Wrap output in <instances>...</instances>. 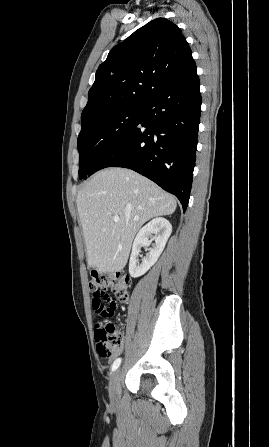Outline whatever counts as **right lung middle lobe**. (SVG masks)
<instances>
[{
	"label": "right lung middle lobe",
	"mask_w": 269,
	"mask_h": 447,
	"mask_svg": "<svg viewBox=\"0 0 269 447\" xmlns=\"http://www.w3.org/2000/svg\"><path fill=\"white\" fill-rule=\"evenodd\" d=\"M144 104L124 106L82 124L77 146L79 178H85L98 160L138 124Z\"/></svg>",
	"instance_id": "dd1d6c3e"
}]
</instances>
